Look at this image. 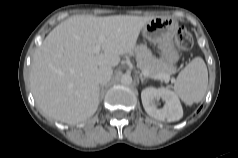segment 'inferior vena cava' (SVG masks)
<instances>
[{
	"instance_id": "602c4592",
	"label": "inferior vena cava",
	"mask_w": 238,
	"mask_h": 158,
	"mask_svg": "<svg viewBox=\"0 0 238 158\" xmlns=\"http://www.w3.org/2000/svg\"><path fill=\"white\" fill-rule=\"evenodd\" d=\"M113 74L112 68L110 66H99L96 73L97 82L100 85H105L111 79Z\"/></svg>"
}]
</instances>
